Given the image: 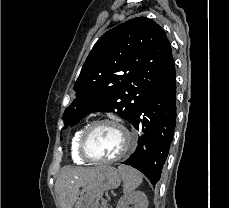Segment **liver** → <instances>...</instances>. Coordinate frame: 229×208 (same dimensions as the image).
Listing matches in <instances>:
<instances>
[{
  "instance_id": "obj_1",
  "label": "liver",
  "mask_w": 229,
  "mask_h": 208,
  "mask_svg": "<svg viewBox=\"0 0 229 208\" xmlns=\"http://www.w3.org/2000/svg\"><path fill=\"white\" fill-rule=\"evenodd\" d=\"M105 166H96V168H79V166H64L59 178L55 182V190L58 194L61 208H73L77 198L79 188L87 186Z\"/></svg>"
}]
</instances>
